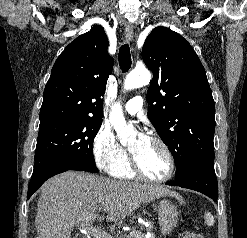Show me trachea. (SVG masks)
I'll return each instance as SVG.
<instances>
[{"instance_id":"trachea-1","label":"trachea","mask_w":247,"mask_h":238,"mask_svg":"<svg viewBox=\"0 0 247 238\" xmlns=\"http://www.w3.org/2000/svg\"><path fill=\"white\" fill-rule=\"evenodd\" d=\"M132 64L130 48L128 44H124L120 47L119 50V65L123 72H126L130 69Z\"/></svg>"}]
</instances>
